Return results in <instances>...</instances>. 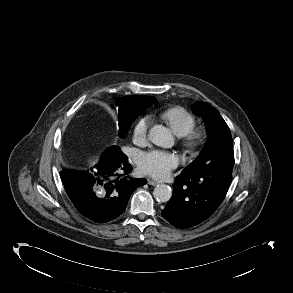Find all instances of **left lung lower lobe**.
Wrapping results in <instances>:
<instances>
[{"mask_svg":"<svg viewBox=\"0 0 293 293\" xmlns=\"http://www.w3.org/2000/svg\"><path fill=\"white\" fill-rule=\"evenodd\" d=\"M232 169L182 171L173 184V195L162 216L178 228H189L208 219L223 201Z\"/></svg>","mask_w":293,"mask_h":293,"instance_id":"obj_1","label":"left lung lower lobe"}]
</instances>
